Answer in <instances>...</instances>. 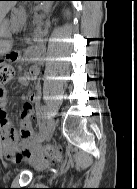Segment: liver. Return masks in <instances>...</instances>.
I'll return each mask as SVG.
<instances>
[{
    "label": "liver",
    "instance_id": "obj_1",
    "mask_svg": "<svg viewBox=\"0 0 137 189\" xmlns=\"http://www.w3.org/2000/svg\"><path fill=\"white\" fill-rule=\"evenodd\" d=\"M16 4V1H0V24L9 10Z\"/></svg>",
    "mask_w": 137,
    "mask_h": 189
}]
</instances>
